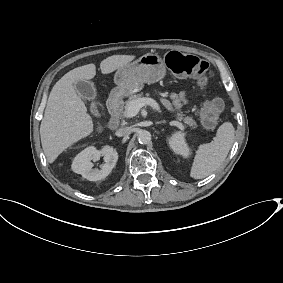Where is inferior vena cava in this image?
<instances>
[{
  "mask_svg": "<svg viewBox=\"0 0 283 283\" xmlns=\"http://www.w3.org/2000/svg\"><path fill=\"white\" fill-rule=\"evenodd\" d=\"M128 132V127H122L115 131L116 136H124Z\"/></svg>",
  "mask_w": 283,
  "mask_h": 283,
  "instance_id": "602c4592",
  "label": "inferior vena cava"
}]
</instances>
